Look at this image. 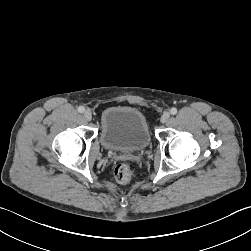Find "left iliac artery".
Returning <instances> with one entry per match:
<instances>
[{
    "label": "left iliac artery",
    "instance_id": "44dca946",
    "mask_svg": "<svg viewBox=\"0 0 251 251\" xmlns=\"http://www.w3.org/2000/svg\"><path fill=\"white\" fill-rule=\"evenodd\" d=\"M170 113L175 115L177 113V109L175 107L171 108Z\"/></svg>",
    "mask_w": 251,
    "mask_h": 251
}]
</instances>
